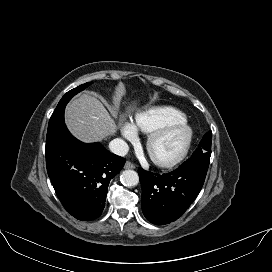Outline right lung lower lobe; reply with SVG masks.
<instances>
[{
    "instance_id": "obj_1",
    "label": "right lung lower lobe",
    "mask_w": 272,
    "mask_h": 272,
    "mask_svg": "<svg viewBox=\"0 0 272 272\" xmlns=\"http://www.w3.org/2000/svg\"><path fill=\"white\" fill-rule=\"evenodd\" d=\"M124 164V158L100 143L77 140L66 126L46 141V166L54 190L64 208L81 221L101 215L109 182Z\"/></svg>"
}]
</instances>
